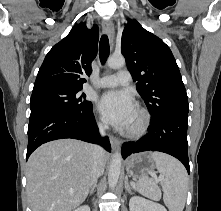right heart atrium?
<instances>
[{"mask_svg":"<svg viewBox=\"0 0 221 211\" xmlns=\"http://www.w3.org/2000/svg\"><path fill=\"white\" fill-rule=\"evenodd\" d=\"M98 125H99V127H101V128L105 127V122H104V120L100 119V120L98 121Z\"/></svg>","mask_w":221,"mask_h":211,"instance_id":"1","label":"right heart atrium"}]
</instances>
